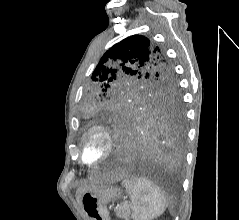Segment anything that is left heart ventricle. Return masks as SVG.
<instances>
[{"instance_id":"1","label":"left heart ventricle","mask_w":239,"mask_h":220,"mask_svg":"<svg viewBox=\"0 0 239 220\" xmlns=\"http://www.w3.org/2000/svg\"><path fill=\"white\" fill-rule=\"evenodd\" d=\"M103 151V143L100 138L94 137L92 138L84 149V159L86 161H94L96 160Z\"/></svg>"}]
</instances>
